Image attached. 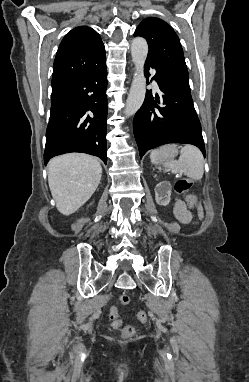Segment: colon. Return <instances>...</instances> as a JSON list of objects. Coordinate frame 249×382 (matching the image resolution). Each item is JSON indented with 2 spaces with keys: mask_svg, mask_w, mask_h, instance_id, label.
I'll return each instance as SVG.
<instances>
[{
  "mask_svg": "<svg viewBox=\"0 0 249 382\" xmlns=\"http://www.w3.org/2000/svg\"><path fill=\"white\" fill-rule=\"evenodd\" d=\"M190 186H191L190 181H188L186 179H182V180H179V181H177L175 183V191L177 193H184V192H186L190 188ZM187 201H188L189 207L192 210H194L196 212H200L201 208H200V205H199L198 200H197L195 195L188 194L187 195ZM129 301H130V298L126 294L121 295L120 298H119V302L122 305H127L129 303ZM108 317L112 321V325L115 328H120V333H121V336L123 338H130V337H132L134 335L135 329H134L133 326H131V325L122 326L121 325V321L118 318L117 309L116 308H111L109 310ZM137 318H138V320L141 323H146L147 322V315L143 311L138 313Z\"/></svg>",
  "mask_w": 249,
  "mask_h": 382,
  "instance_id": "colon-1",
  "label": "colon"
}]
</instances>
